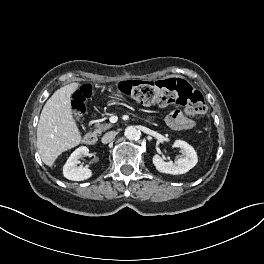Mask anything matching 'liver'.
Instances as JSON below:
<instances>
[{"mask_svg": "<svg viewBox=\"0 0 264 264\" xmlns=\"http://www.w3.org/2000/svg\"><path fill=\"white\" fill-rule=\"evenodd\" d=\"M79 86V83H71L61 87L42 109L37 126V149L49 167L60 154L81 142V133L71 110V95Z\"/></svg>", "mask_w": 264, "mask_h": 264, "instance_id": "6515ba94", "label": "liver"}]
</instances>
